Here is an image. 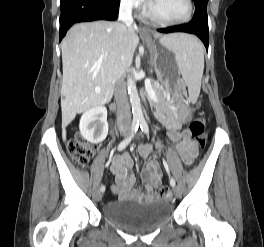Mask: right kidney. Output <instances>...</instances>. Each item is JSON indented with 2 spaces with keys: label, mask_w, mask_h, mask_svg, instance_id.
<instances>
[{
  "label": "right kidney",
  "mask_w": 264,
  "mask_h": 247,
  "mask_svg": "<svg viewBox=\"0 0 264 247\" xmlns=\"http://www.w3.org/2000/svg\"><path fill=\"white\" fill-rule=\"evenodd\" d=\"M81 136L90 143L102 142L108 134L107 110L103 106L83 113L79 123Z\"/></svg>",
  "instance_id": "ca27d5eb"
}]
</instances>
